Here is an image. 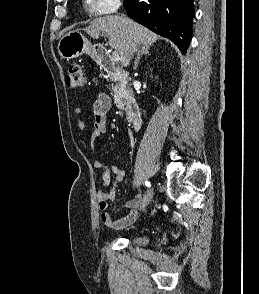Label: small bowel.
Segmentation results:
<instances>
[{"label":"small bowel","mask_w":259,"mask_h":294,"mask_svg":"<svg viewBox=\"0 0 259 294\" xmlns=\"http://www.w3.org/2000/svg\"><path fill=\"white\" fill-rule=\"evenodd\" d=\"M110 107L111 98L105 93H99L91 108L94 125L88 137L91 154L95 153L97 140L106 130L105 116ZM74 114L80 117L83 110L78 107L74 110ZM78 128L82 131L86 129V125L82 120L78 121ZM93 165L102 171V184L97 193L102 223L111 230H121L129 226L136 219L137 210L140 206L139 198L130 199L125 203L124 207L127 209V213L120 219H113L108 212L109 202L115 197V186L127 178V172L116 165H107L96 159L93 160Z\"/></svg>","instance_id":"1"}]
</instances>
